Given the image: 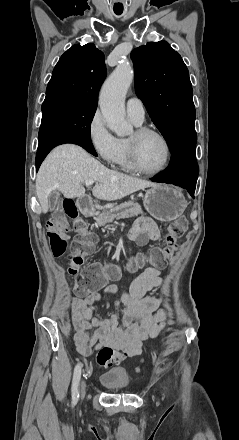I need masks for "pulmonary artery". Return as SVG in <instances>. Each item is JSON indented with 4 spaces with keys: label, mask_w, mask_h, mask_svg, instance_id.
Returning <instances> with one entry per match:
<instances>
[{
    "label": "pulmonary artery",
    "mask_w": 239,
    "mask_h": 440,
    "mask_svg": "<svg viewBox=\"0 0 239 440\" xmlns=\"http://www.w3.org/2000/svg\"><path fill=\"white\" fill-rule=\"evenodd\" d=\"M126 111L129 118L135 124H141L144 121L145 109L142 101L139 98H129L126 104Z\"/></svg>",
    "instance_id": "1"
}]
</instances>
